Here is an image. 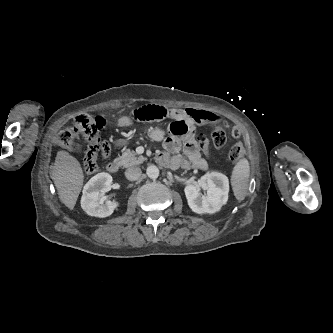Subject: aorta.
Listing matches in <instances>:
<instances>
[{
  "mask_svg": "<svg viewBox=\"0 0 333 333\" xmlns=\"http://www.w3.org/2000/svg\"><path fill=\"white\" fill-rule=\"evenodd\" d=\"M146 174L151 179H156L159 176V169L155 165H150L146 169Z\"/></svg>",
  "mask_w": 333,
  "mask_h": 333,
  "instance_id": "1",
  "label": "aorta"
}]
</instances>
